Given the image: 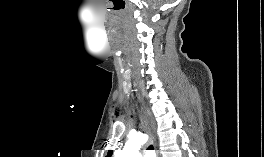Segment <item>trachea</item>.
I'll list each match as a JSON object with an SVG mask.
<instances>
[{"instance_id": "1", "label": "trachea", "mask_w": 264, "mask_h": 157, "mask_svg": "<svg viewBox=\"0 0 264 157\" xmlns=\"http://www.w3.org/2000/svg\"><path fill=\"white\" fill-rule=\"evenodd\" d=\"M148 150H153V146L150 145V146L148 147Z\"/></svg>"}]
</instances>
